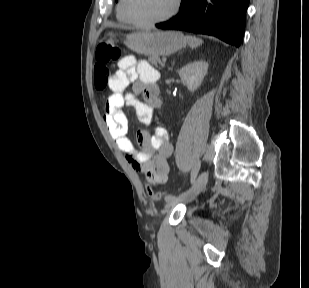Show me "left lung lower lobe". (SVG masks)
I'll return each mask as SVG.
<instances>
[{"label":"left lung lower lobe","mask_w":309,"mask_h":288,"mask_svg":"<svg viewBox=\"0 0 309 288\" xmlns=\"http://www.w3.org/2000/svg\"><path fill=\"white\" fill-rule=\"evenodd\" d=\"M248 5L249 0H182L179 14L156 27L212 35L238 47Z\"/></svg>","instance_id":"0a47b994"}]
</instances>
